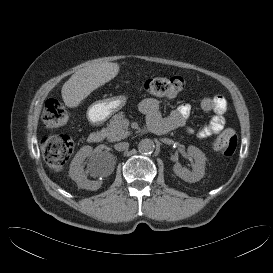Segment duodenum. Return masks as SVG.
Here are the masks:
<instances>
[{
  "mask_svg": "<svg viewBox=\"0 0 273 273\" xmlns=\"http://www.w3.org/2000/svg\"><path fill=\"white\" fill-rule=\"evenodd\" d=\"M148 129L154 134L164 135L169 132L170 127L166 120L157 118L148 122ZM103 139L104 134L101 131H94L89 135V141L91 143H100Z\"/></svg>",
  "mask_w": 273,
  "mask_h": 273,
  "instance_id": "410a0bca",
  "label": "duodenum"
}]
</instances>
